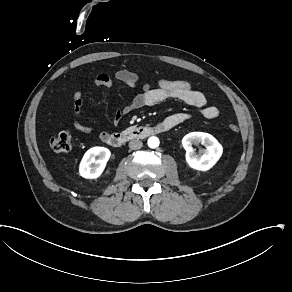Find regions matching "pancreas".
I'll return each mask as SVG.
<instances>
[{
    "label": "pancreas",
    "instance_id": "cf45deb5",
    "mask_svg": "<svg viewBox=\"0 0 292 292\" xmlns=\"http://www.w3.org/2000/svg\"><path fill=\"white\" fill-rule=\"evenodd\" d=\"M136 127V126H135ZM134 130V128H128L126 130L122 131V135H130L132 133V131Z\"/></svg>",
    "mask_w": 292,
    "mask_h": 292
}]
</instances>
